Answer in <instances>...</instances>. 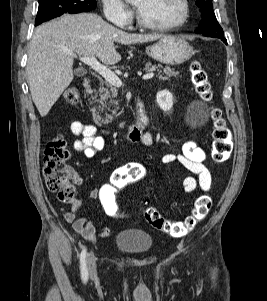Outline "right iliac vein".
Masks as SVG:
<instances>
[{
  "instance_id": "right-iliac-vein-1",
  "label": "right iliac vein",
  "mask_w": 267,
  "mask_h": 301,
  "mask_svg": "<svg viewBox=\"0 0 267 301\" xmlns=\"http://www.w3.org/2000/svg\"><path fill=\"white\" fill-rule=\"evenodd\" d=\"M87 265H88L90 277H95L97 273V268H96V260L93 252H89L87 255Z\"/></svg>"
}]
</instances>
